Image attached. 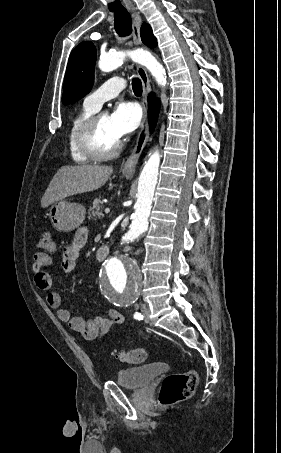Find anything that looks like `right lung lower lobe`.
<instances>
[{
  "instance_id": "1",
  "label": "right lung lower lobe",
  "mask_w": 281,
  "mask_h": 453,
  "mask_svg": "<svg viewBox=\"0 0 281 453\" xmlns=\"http://www.w3.org/2000/svg\"><path fill=\"white\" fill-rule=\"evenodd\" d=\"M159 106L160 104L158 99L155 97L153 93H151L148 97L149 122L151 131L154 129L157 122Z\"/></svg>"
}]
</instances>
